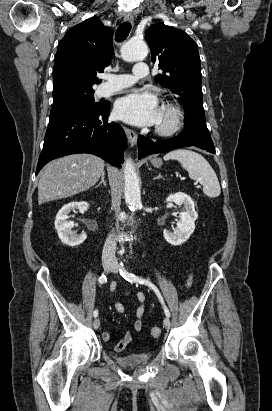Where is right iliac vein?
Segmentation results:
<instances>
[{"label":"right iliac vein","mask_w":272,"mask_h":411,"mask_svg":"<svg viewBox=\"0 0 272 411\" xmlns=\"http://www.w3.org/2000/svg\"><path fill=\"white\" fill-rule=\"evenodd\" d=\"M103 267L107 272H110L111 268H112V263L110 261H104L103 262ZM93 327L94 329H99L100 327V320L98 318H96L93 321Z\"/></svg>","instance_id":"63e3f726"}]
</instances>
